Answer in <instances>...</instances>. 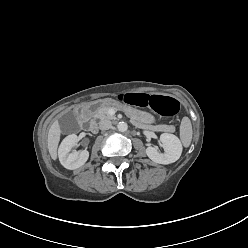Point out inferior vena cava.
Returning <instances> with one entry per match:
<instances>
[{
  "instance_id": "1",
  "label": "inferior vena cava",
  "mask_w": 248,
  "mask_h": 248,
  "mask_svg": "<svg viewBox=\"0 0 248 248\" xmlns=\"http://www.w3.org/2000/svg\"><path fill=\"white\" fill-rule=\"evenodd\" d=\"M111 127H112V123H111L110 120H101V121L99 122V128H100L101 130H108V129H110Z\"/></svg>"
}]
</instances>
